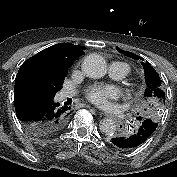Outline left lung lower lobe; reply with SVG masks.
<instances>
[{"mask_svg":"<svg viewBox=\"0 0 177 177\" xmlns=\"http://www.w3.org/2000/svg\"><path fill=\"white\" fill-rule=\"evenodd\" d=\"M158 123L151 119H141L134 132L112 138L111 142L121 149H133L142 145L155 131Z\"/></svg>","mask_w":177,"mask_h":177,"instance_id":"0a47b994","label":"left lung lower lobe"}]
</instances>
